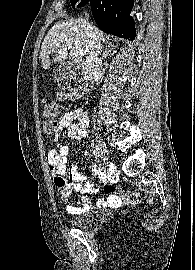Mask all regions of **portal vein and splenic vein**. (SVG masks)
Here are the masks:
<instances>
[{
  "label": "portal vein and splenic vein",
  "instance_id": "18ae733b",
  "mask_svg": "<svg viewBox=\"0 0 195 270\" xmlns=\"http://www.w3.org/2000/svg\"><path fill=\"white\" fill-rule=\"evenodd\" d=\"M70 55L73 56V57H78L79 52H78L77 50H75V49H72V50L70 51Z\"/></svg>",
  "mask_w": 195,
  "mask_h": 270
}]
</instances>
